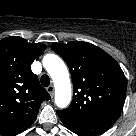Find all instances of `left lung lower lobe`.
<instances>
[{
  "mask_svg": "<svg viewBox=\"0 0 136 136\" xmlns=\"http://www.w3.org/2000/svg\"><path fill=\"white\" fill-rule=\"evenodd\" d=\"M63 123L69 130L80 136H97L107 131L112 125L110 123L102 122L95 123L63 122Z\"/></svg>",
  "mask_w": 136,
  "mask_h": 136,
  "instance_id": "obj_1",
  "label": "left lung lower lobe"
}]
</instances>
